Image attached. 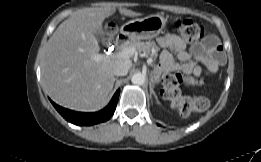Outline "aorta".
I'll list each match as a JSON object with an SVG mask.
<instances>
[{
    "label": "aorta",
    "instance_id": "1",
    "mask_svg": "<svg viewBox=\"0 0 261 162\" xmlns=\"http://www.w3.org/2000/svg\"><path fill=\"white\" fill-rule=\"evenodd\" d=\"M131 82L135 85H143L145 83V75L143 73H135L131 78Z\"/></svg>",
    "mask_w": 261,
    "mask_h": 162
}]
</instances>
